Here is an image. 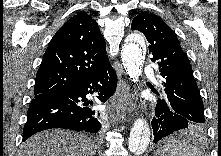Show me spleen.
Returning <instances> with one entry per match:
<instances>
[{
	"mask_svg": "<svg viewBox=\"0 0 221 156\" xmlns=\"http://www.w3.org/2000/svg\"><path fill=\"white\" fill-rule=\"evenodd\" d=\"M166 156H202L199 149L182 139H172L163 147Z\"/></svg>",
	"mask_w": 221,
	"mask_h": 156,
	"instance_id": "obj_1",
	"label": "spleen"
}]
</instances>
